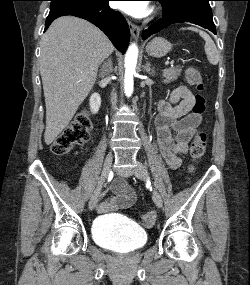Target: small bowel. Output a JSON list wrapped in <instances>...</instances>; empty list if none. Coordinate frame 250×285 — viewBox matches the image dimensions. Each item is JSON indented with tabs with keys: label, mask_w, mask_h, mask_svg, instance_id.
<instances>
[{
	"label": "small bowel",
	"mask_w": 250,
	"mask_h": 285,
	"mask_svg": "<svg viewBox=\"0 0 250 285\" xmlns=\"http://www.w3.org/2000/svg\"><path fill=\"white\" fill-rule=\"evenodd\" d=\"M195 96L185 86L173 90L168 99L158 103L155 120L156 141L164 161L170 168L181 165L180 155L187 153L188 144L197 131L201 116L191 113ZM114 196H108L97 205L99 213L127 208L135 201V193L124 179L112 185Z\"/></svg>",
	"instance_id": "1"
}]
</instances>
